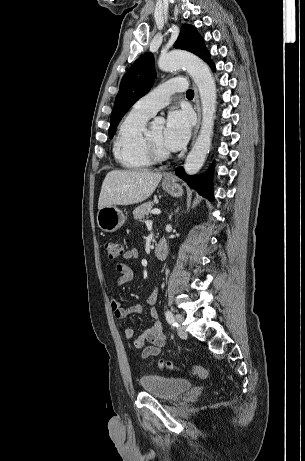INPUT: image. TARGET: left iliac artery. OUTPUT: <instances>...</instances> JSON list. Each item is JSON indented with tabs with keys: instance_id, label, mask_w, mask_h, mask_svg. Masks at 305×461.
<instances>
[{
	"instance_id": "obj_1",
	"label": "left iliac artery",
	"mask_w": 305,
	"mask_h": 461,
	"mask_svg": "<svg viewBox=\"0 0 305 461\" xmlns=\"http://www.w3.org/2000/svg\"><path fill=\"white\" fill-rule=\"evenodd\" d=\"M165 317H166V320L169 324L173 325V326H178V324L175 322L174 320V317H173V314L171 311L167 310L165 312Z\"/></svg>"
}]
</instances>
